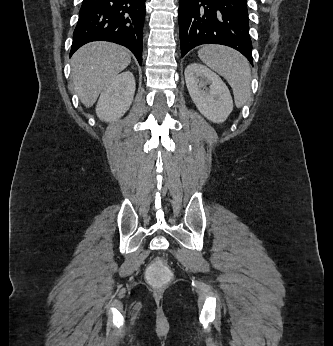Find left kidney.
I'll use <instances>...</instances> for the list:
<instances>
[{
	"instance_id": "obj_1",
	"label": "left kidney",
	"mask_w": 333,
	"mask_h": 346,
	"mask_svg": "<svg viewBox=\"0 0 333 346\" xmlns=\"http://www.w3.org/2000/svg\"><path fill=\"white\" fill-rule=\"evenodd\" d=\"M185 80L200 113L214 123H223L233 110V100L222 79L204 65L191 63L185 69Z\"/></svg>"
}]
</instances>
